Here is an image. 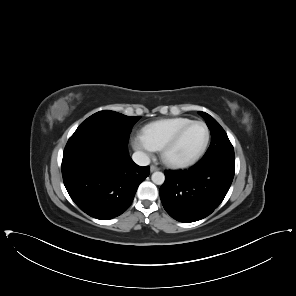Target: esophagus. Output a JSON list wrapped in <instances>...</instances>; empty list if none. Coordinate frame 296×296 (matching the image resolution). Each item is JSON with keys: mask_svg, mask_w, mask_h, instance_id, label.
Here are the masks:
<instances>
[{"mask_svg": "<svg viewBox=\"0 0 296 296\" xmlns=\"http://www.w3.org/2000/svg\"><path fill=\"white\" fill-rule=\"evenodd\" d=\"M157 170H159V167H157V166H155V165H151V166H150V171H151V172H155V171H157Z\"/></svg>", "mask_w": 296, "mask_h": 296, "instance_id": "34e87169", "label": "esophagus"}]
</instances>
